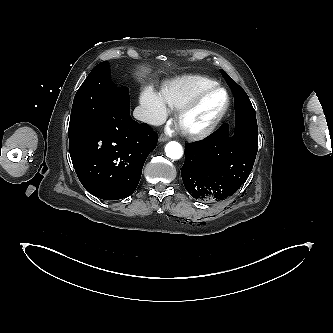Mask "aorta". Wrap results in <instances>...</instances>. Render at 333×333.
Wrapping results in <instances>:
<instances>
[{"instance_id":"aorta-1","label":"aorta","mask_w":333,"mask_h":333,"mask_svg":"<svg viewBox=\"0 0 333 333\" xmlns=\"http://www.w3.org/2000/svg\"><path fill=\"white\" fill-rule=\"evenodd\" d=\"M165 153L166 156L169 157L170 159L177 160L182 157L183 149L178 142L171 141L167 143V145L165 146Z\"/></svg>"}]
</instances>
